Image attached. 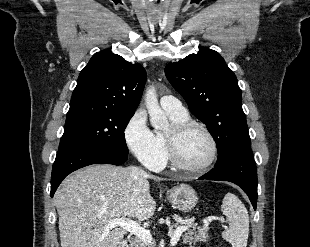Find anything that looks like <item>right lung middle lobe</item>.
<instances>
[{"mask_svg":"<svg viewBox=\"0 0 310 247\" xmlns=\"http://www.w3.org/2000/svg\"><path fill=\"white\" fill-rule=\"evenodd\" d=\"M133 115L110 109H70L59 149L81 145L128 154L124 130Z\"/></svg>","mask_w":310,"mask_h":247,"instance_id":"right-lung-middle-lobe-1","label":"right lung middle lobe"}]
</instances>
